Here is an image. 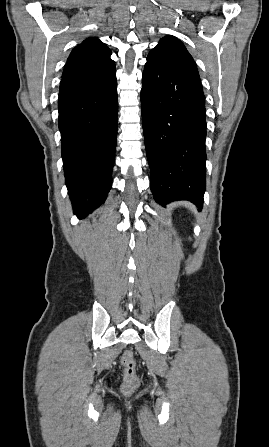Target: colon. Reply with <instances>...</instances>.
Returning <instances> with one entry per match:
<instances>
[{
	"mask_svg": "<svg viewBox=\"0 0 269 447\" xmlns=\"http://www.w3.org/2000/svg\"><path fill=\"white\" fill-rule=\"evenodd\" d=\"M121 364L123 366L122 390L125 393H132L136 387L141 386L142 381L137 375V365L131 351H125L122 354Z\"/></svg>",
	"mask_w": 269,
	"mask_h": 447,
	"instance_id": "obj_1",
	"label": "colon"
}]
</instances>
